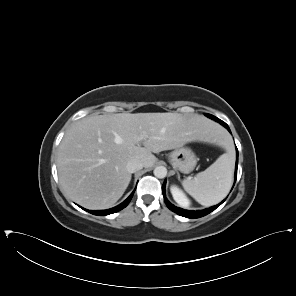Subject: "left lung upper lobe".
<instances>
[{
    "instance_id": "left-lung-upper-lobe-1",
    "label": "left lung upper lobe",
    "mask_w": 296,
    "mask_h": 296,
    "mask_svg": "<svg viewBox=\"0 0 296 296\" xmlns=\"http://www.w3.org/2000/svg\"><path fill=\"white\" fill-rule=\"evenodd\" d=\"M206 116H208V117H210L211 119H214L215 121H217V122H223V121H221L220 119H218L217 117H215V116H213V115H211V114H206Z\"/></svg>"
}]
</instances>
